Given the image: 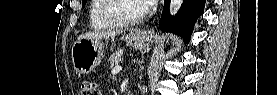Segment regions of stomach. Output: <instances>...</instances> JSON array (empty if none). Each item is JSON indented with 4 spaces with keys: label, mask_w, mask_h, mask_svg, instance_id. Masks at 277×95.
Here are the masks:
<instances>
[{
    "label": "stomach",
    "mask_w": 277,
    "mask_h": 95,
    "mask_svg": "<svg viewBox=\"0 0 277 95\" xmlns=\"http://www.w3.org/2000/svg\"><path fill=\"white\" fill-rule=\"evenodd\" d=\"M123 38L136 49H147L154 41L151 32L130 30ZM103 56V43L100 40L78 38L71 50L74 69L77 73H90L101 61Z\"/></svg>",
    "instance_id": "stomach-1"
}]
</instances>
